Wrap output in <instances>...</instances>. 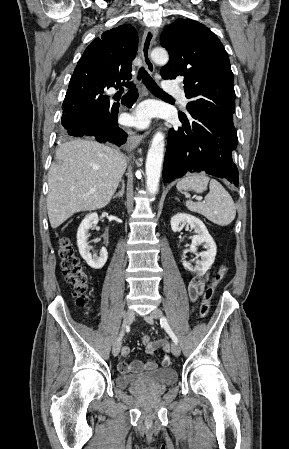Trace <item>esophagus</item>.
Listing matches in <instances>:
<instances>
[{
	"label": "esophagus",
	"instance_id": "esophagus-1",
	"mask_svg": "<svg viewBox=\"0 0 289 449\" xmlns=\"http://www.w3.org/2000/svg\"><path fill=\"white\" fill-rule=\"evenodd\" d=\"M157 36V30L155 28H146L143 35V40L141 44V56L144 62V65L148 71L149 74H153L155 72V66L154 63L151 60L150 57V51L152 48V45L155 41V38ZM142 141V136L137 134L134 131L129 132V139H128V148L130 150L135 149Z\"/></svg>",
	"mask_w": 289,
	"mask_h": 449
}]
</instances>
